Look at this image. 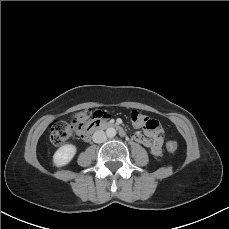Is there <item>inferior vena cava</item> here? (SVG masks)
Wrapping results in <instances>:
<instances>
[{
	"instance_id": "inferior-vena-cava-1",
	"label": "inferior vena cava",
	"mask_w": 229,
	"mask_h": 229,
	"mask_svg": "<svg viewBox=\"0 0 229 229\" xmlns=\"http://www.w3.org/2000/svg\"><path fill=\"white\" fill-rule=\"evenodd\" d=\"M92 139L95 143H103L107 140L106 133L102 130L94 132Z\"/></svg>"
}]
</instances>
